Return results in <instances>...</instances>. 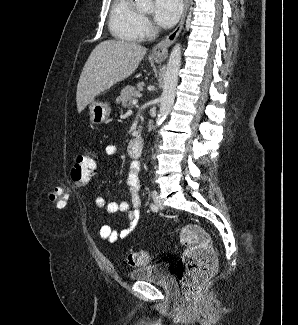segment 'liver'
<instances>
[{
    "instance_id": "obj_1",
    "label": "liver",
    "mask_w": 298,
    "mask_h": 325,
    "mask_svg": "<svg viewBox=\"0 0 298 325\" xmlns=\"http://www.w3.org/2000/svg\"><path fill=\"white\" fill-rule=\"evenodd\" d=\"M148 48L127 40H102L89 54L79 76L76 90L78 112L98 94L125 80L138 68Z\"/></svg>"
}]
</instances>
